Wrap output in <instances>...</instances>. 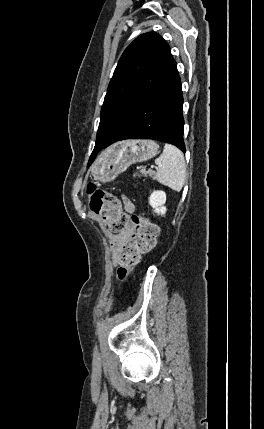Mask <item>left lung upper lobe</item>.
I'll list each match as a JSON object with an SVG mask.
<instances>
[{
	"label": "left lung upper lobe",
	"instance_id": "obj_1",
	"mask_svg": "<svg viewBox=\"0 0 264 429\" xmlns=\"http://www.w3.org/2000/svg\"><path fill=\"white\" fill-rule=\"evenodd\" d=\"M169 55V45L155 32L138 36L126 48L108 86L92 153L122 137L141 101L162 74Z\"/></svg>",
	"mask_w": 264,
	"mask_h": 429
}]
</instances>
